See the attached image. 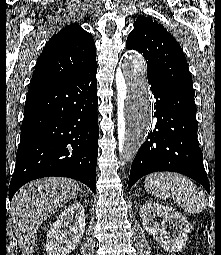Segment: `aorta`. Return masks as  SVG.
<instances>
[{
	"instance_id": "aorta-1",
	"label": "aorta",
	"mask_w": 221,
	"mask_h": 255,
	"mask_svg": "<svg viewBox=\"0 0 221 255\" xmlns=\"http://www.w3.org/2000/svg\"><path fill=\"white\" fill-rule=\"evenodd\" d=\"M116 84L124 126L119 137V152L125 160L135 157L150 130L152 102L145 61L136 52H128L121 62Z\"/></svg>"
}]
</instances>
